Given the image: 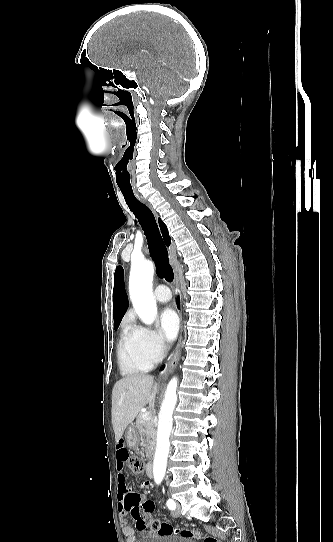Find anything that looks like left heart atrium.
<instances>
[{
	"mask_svg": "<svg viewBox=\"0 0 333 542\" xmlns=\"http://www.w3.org/2000/svg\"><path fill=\"white\" fill-rule=\"evenodd\" d=\"M160 327L163 336L168 341H173L179 328V320L171 308H166L160 316Z\"/></svg>",
	"mask_w": 333,
	"mask_h": 542,
	"instance_id": "obj_1",
	"label": "left heart atrium"
}]
</instances>
